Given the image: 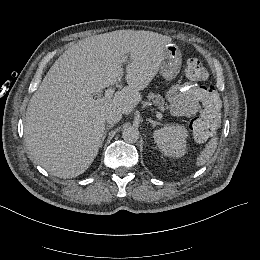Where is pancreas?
<instances>
[{"label":"pancreas","instance_id":"obj_1","mask_svg":"<svg viewBox=\"0 0 260 260\" xmlns=\"http://www.w3.org/2000/svg\"><path fill=\"white\" fill-rule=\"evenodd\" d=\"M149 99L152 100V103L161 111L164 112L167 108L165 99L160 94H150Z\"/></svg>","mask_w":260,"mask_h":260}]
</instances>
